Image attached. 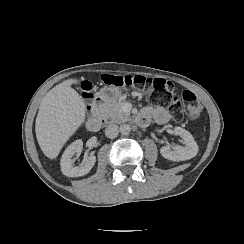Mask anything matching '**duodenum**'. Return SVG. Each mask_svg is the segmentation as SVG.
<instances>
[{
    "label": "duodenum",
    "instance_id": "obj_1",
    "mask_svg": "<svg viewBox=\"0 0 244 244\" xmlns=\"http://www.w3.org/2000/svg\"><path fill=\"white\" fill-rule=\"evenodd\" d=\"M109 98V95L106 93L98 95L91 104L92 115L88 118L86 122V128L90 132H96L100 127L105 123L104 109L106 101ZM141 123H145V119L139 118Z\"/></svg>",
    "mask_w": 244,
    "mask_h": 244
}]
</instances>
